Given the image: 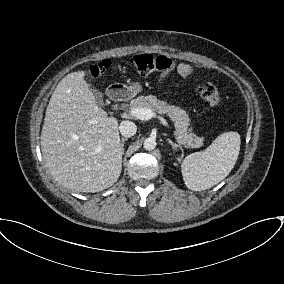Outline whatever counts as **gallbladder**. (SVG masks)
I'll use <instances>...</instances> for the list:
<instances>
[{"mask_svg":"<svg viewBox=\"0 0 284 284\" xmlns=\"http://www.w3.org/2000/svg\"><path fill=\"white\" fill-rule=\"evenodd\" d=\"M92 92H93V95H94V97L96 99L97 105L99 107H104L105 106V102H104L102 93L97 91L96 89H94Z\"/></svg>","mask_w":284,"mask_h":284,"instance_id":"obj_1","label":"gallbladder"}]
</instances>
